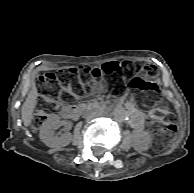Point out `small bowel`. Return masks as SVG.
<instances>
[{"label":"small bowel","instance_id":"obj_1","mask_svg":"<svg viewBox=\"0 0 194 193\" xmlns=\"http://www.w3.org/2000/svg\"><path fill=\"white\" fill-rule=\"evenodd\" d=\"M125 105L128 112L130 125L137 130H142L145 126L146 116L135 108L131 99L126 98Z\"/></svg>","mask_w":194,"mask_h":193}]
</instances>
